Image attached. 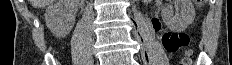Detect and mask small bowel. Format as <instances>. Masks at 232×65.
Listing matches in <instances>:
<instances>
[{"label":"small bowel","instance_id":"small-bowel-1","mask_svg":"<svg viewBox=\"0 0 232 65\" xmlns=\"http://www.w3.org/2000/svg\"><path fill=\"white\" fill-rule=\"evenodd\" d=\"M151 25H152V28H153L156 32H159V34H160V39H161V41H162V37H163V35H164L165 32H163L162 29H161L160 21H159L157 18H154V19H152Z\"/></svg>","mask_w":232,"mask_h":65}]
</instances>
